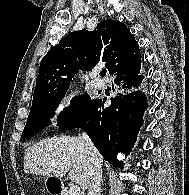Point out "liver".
<instances>
[{
    "label": "liver",
    "instance_id": "1",
    "mask_svg": "<svg viewBox=\"0 0 189 195\" xmlns=\"http://www.w3.org/2000/svg\"><path fill=\"white\" fill-rule=\"evenodd\" d=\"M89 166L88 145L81 136L46 138L25 150L24 172L54 178L69 172V179L82 191L88 186Z\"/></svg>",
    "mask_w": 189,
    "mask_h": 195
}]
</instances>
